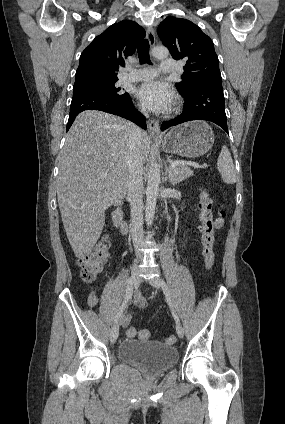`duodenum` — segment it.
Wrapping results in <instances>:
<instances>
[{
  "mask_svg": "<svg viewBox=\"0 0 285 424\" xmlns=\"http://www.w3.org/2000/svg\"><path fill=\"white\" fill-rule=\"evenodd\" d=\"M112 221L116 228L123 234L127 230V222L124 218V213L121 208H116L112 213Z\"/></svg>",
  "mask_w": 285,
  "mask_h": 424,
  "instance_id": "duodenum-1",
  "label": "duodenum"
}]
</instances>
